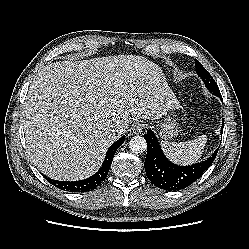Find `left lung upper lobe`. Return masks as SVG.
Listing matches in <instances>:
<instances>
[{
	"label": "left lung upper lobe",
	"instance_id": "1",
	"mask_svg": "<svg viewBox=\"0 0 249 249\" xmlns=\"http://www.w3.org/2000/svg\"><path fill=\"white\" fill-rule=\"evenodd\" d=\"M195 67H196V73L201 77L206 88L216 96H220L221 93L219 91L217 83L198 60H195Z\"/></svg>",
	"mask_w": 249,
	"mask_h": 249
}]
</instances>
